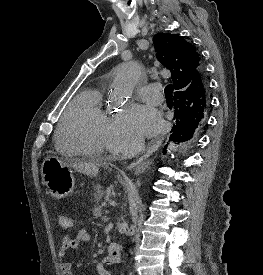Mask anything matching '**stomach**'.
Instances as JSON below:
<instances>
[{"label": "stomach", "mask_w": 263, "mask_h": 275, "mask_svg": "<svg viewBox=\"0 0 263 275\" xmlns=\"http://www.w3.org/2000/svg\"><path fill=\"white\" fill-rule=\"evenodd\" d=\"M73 169L63 160L48 156L43 160L41 175L49 193L56 199H62L73 193L75 178Z\"/></svg>", "instance_id": "stomach-1"}]
</instances>
